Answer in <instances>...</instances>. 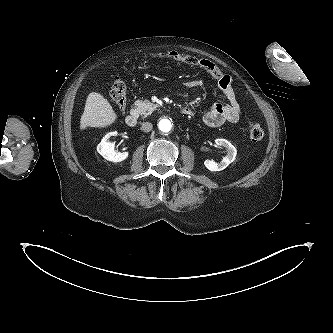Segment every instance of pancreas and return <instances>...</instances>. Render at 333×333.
I'll return each instance as SVG.
<instances>
[{
  "label": "pancreas",
  "instance_id": "1",
  "mask_svg": "<svg viewBox=\"0 0 333 333\" xmlns=\"http://www.w3.org/2000/svg\"><path fill=\"white\" fill-rule=\"evenodd\" d=\"M136 111L144 118L150 115L158 105L151 103L148 100H137L135 101Z\"/></svg>",
  "mask_w": 333,
  "mask_h": 333
}]
</instances>
